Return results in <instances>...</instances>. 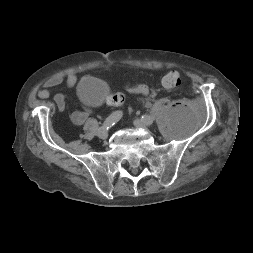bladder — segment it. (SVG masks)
<instances>
[{"instance_id": "1", "label": "bladder", "mask_w": 253, "mask_h": 253, "mask_svg": "<svg viewBox=\"0 0 253 253\" xmlns=\"http://www.w3.org/2000/svg\"><path fill=\"white\" fill-rule=\"evenodd\" d=\"M79 100L88 106L102 104L109 95L108 87L102 80L95 77L82 79L77 86Z\"/></svg>"}]
</instances>
